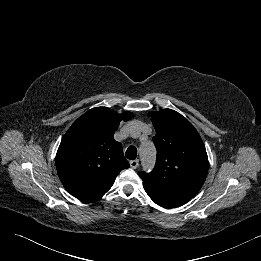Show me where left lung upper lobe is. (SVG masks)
<instances>
[{"label":"left lung upper lobe","mask_w":261,"mask_h":261,"mask_svg":"<svg viewBox=\"0 0 261 261\" xmlns=\"http://www.w3.org/2000/svg\"><path fill=\"white\" fill-rule=\"evenodd\" d=\"M156 130L157 149L152 172H139L145 186L194 197L208 172L203 141L193 125L181 114L164 109L148 114Z\"/></svg>","instance_id":"obj_1"}]
</instances>
